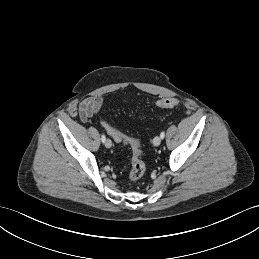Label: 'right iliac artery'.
Here are the masks:
<instances>
[{
  "mask_svg": "<svg viewBox=\"0 0 259 259\" xmlns=\"http://www.w3.org/2000/svg\"><path fill=\"white\" fill-rule=\"evenodd\" d=\"M101 140H102V142H103V143H105V141H106V137H105V135H104V134L102 135Z\"/></svg>",
  "mask_w": 259,
  "mask_h": 259,
  "instance_id": "1",
  "label": "right iliac artery"
}]
</instances>
